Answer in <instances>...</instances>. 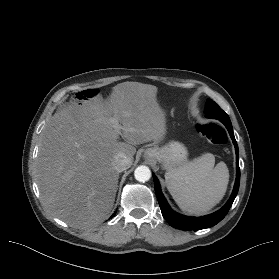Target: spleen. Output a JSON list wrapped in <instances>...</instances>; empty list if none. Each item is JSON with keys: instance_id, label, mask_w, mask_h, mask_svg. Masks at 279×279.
<instances>
[{"instance_id": "1", "label": "spleen", "mask_w": 279, "mask_h": 279, "mask_svg": "<svg viewBox=\"0 0 279 279\" xmlns=\"http://www.w3.org/2000/svg\"><path fill=\"white\" fill-rule=\"evenodd\" d=\"M165 179L168 191L183 211L203 215L223 199L229 171L222 161L215 166L214 155L206 153L169 170Z\"/></svg>"}]
</instances>
